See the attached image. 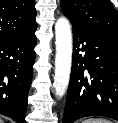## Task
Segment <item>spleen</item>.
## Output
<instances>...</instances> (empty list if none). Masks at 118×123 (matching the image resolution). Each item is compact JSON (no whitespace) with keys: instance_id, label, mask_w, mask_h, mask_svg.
Segmentation results:
<instances>
[{"instance_id":"1","label":"spleen","mask_w":118,"mask_h":123,"mask_svg":"<svg viewBox=\"0 0 118 123\" xmlns=\"http://www.w3.org/2000/svg\"><path fill=\"white\" fill-rule=\"evenodd\" d=\"M82 123H111V122L103 118H89L87 120H84Z\"/></svg>"}]
</instances>
